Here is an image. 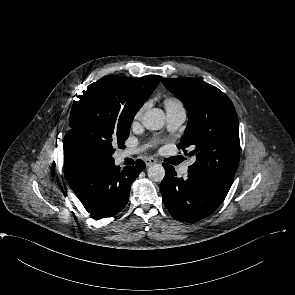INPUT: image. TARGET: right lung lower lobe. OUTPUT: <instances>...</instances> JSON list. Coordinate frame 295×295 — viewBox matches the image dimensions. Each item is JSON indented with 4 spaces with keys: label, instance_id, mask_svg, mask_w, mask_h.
Here are the masks:
<instances>
[{
    "label": "right lung lower lobe",
    "instance_id": "obj_1",
    "mask_svg": "<svg viewBox=\"0 0 295 295\" xmlns=\"http://www.w3.org/2000/svg\"><path fill=\"white\" fill-rule=\"evenodd\" d=\"M145 167L142 160L122 170L114 160L87 164L69 185L91 218L112 217L125 208L131 184Z\"/></svg>",
    "mask_w": 295,
    "mask_h": 295
}]
</instances>
